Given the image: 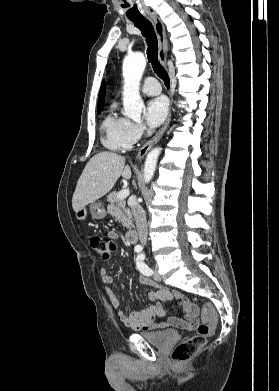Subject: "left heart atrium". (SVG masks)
Returning <instances> with one entry per match:
<instances>
[{
	"instance_id": "1",
	"label": "left heart atrium",
	"mask_w": 279,
	"mask_h": 391,
	"mask_svg": "<svg viewBox=\"0 0 279 391\" xmlns=\"http://www.w3.org/2000/svg\"><path fill=\"white\" fill-rule=\"evenodd\" d=\"M168 113V101L165 97H156L148 101L145 107V120L150 128L159 126Z\"/></svg>"
}]
</instances>
